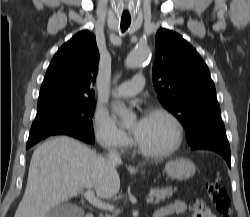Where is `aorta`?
Wrapping results in <instances>:
<instances>
[{
    "label": "aorta",
    "instance_id": "obj_1",
    "mask_svg": "<svg viewBox=\"0 0 250 217\" xmlns=\"http://www.w3.org/2000/svg\"><path fill=\"white\" fill-rule=\"evenodd\" d=\"M151 55V49L146 45H139L131 51L128 55L126 65L129 68L137 67L146 61ZM114 110L121 116L124 124H130L132 122V116L127 112L123 103H115Z\"/></svg>",
    "mask_w": 250,
    "mask_h": 217
}]
</instances>
